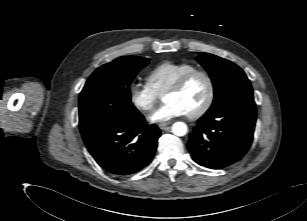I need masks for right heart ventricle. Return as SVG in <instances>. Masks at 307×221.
I'll list each match as a JSON object with an SVG mask.
<instances>
[{"label": "right heart ventricle", "instance_id": "obj_1", "mask_svg": "<svg viewBox=\"0 0 307 221\" xmlns=\"http://www.w3.org/2000/svg\"><path fill=\"white\" fill-rule=\"evenodd\" d=\"M197 69L189 62L165 61L156 65L147 75V84L159 95H163L181 76Z\"/></svg>", "mask_w": 307, "mask_h": 221}]
</instances>
